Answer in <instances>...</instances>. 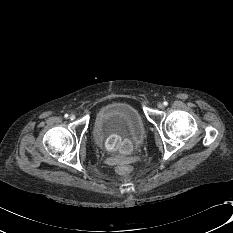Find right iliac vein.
Listing matches in <instances>:
<instances>
[{
    "instance_id": "1",
    "label": "right iliac vein",
    "mask_w": 233,
    "mask_h": 233,
    "mask_svg": "<svg viewBox=\"0 0 233 233\" xmlns=\"http://www.w3.org/2000/svg\"><path fill=\"white\" fill-rule=\"evenodd\" d=\"M69 119H70V120H74V119H75V115H74V114H71V115L69 116Z\"/></svg>"
}]
</instances>
